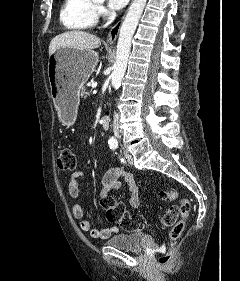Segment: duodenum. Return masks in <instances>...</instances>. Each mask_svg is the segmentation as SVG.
Masks as SVG:
<instances>
[{"mask_svg":"<svg viewBox=\"0 0 240 281\" xmlns=\"http://www.w3.org/2000/svg\"><path fill=\"white\" fill-rule=\"evenodd\" d=\"M101 126L107 130L110 126V116L108 112H104L100 119Z\"/></svg>","mask_w":240,"mask_h":281,"instance_id":"410a0bca","label":"duodenum"}]
</instances>
